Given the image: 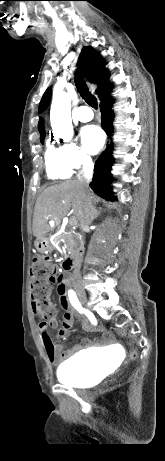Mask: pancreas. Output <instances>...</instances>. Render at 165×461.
I'll list each match as a JSON object with an SVG mask.
<instances>
[{
  "label": "pancreas",
  "instance_id": "1",
  "mask_svg": "<svg viewBox=\"0 0 165 461\" xmlns=\"http://www.w3.org/2000/svg\"><path fill=\"white\" fill-rule=\"evenodd\" d=\"M61 238L65 239V245H66L67 250L71 251V252H75L76 244H75L73 238L71 236H69V235L62 234L57 239H61Z\"/></svg>",
  "mask_w": 165,
  "mask_h": 461
}]
</instances>
